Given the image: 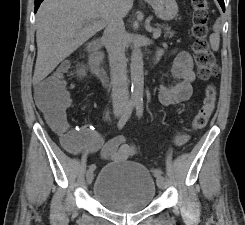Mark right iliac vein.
<instances>
[{"instance_id":"63e3f726","label":"right iliac vein","mask_w":245,"mask_h":225,"mask_svg":"<svg viewBox=\"0 0 245 225\" xmlns=\"http://www.w3.org/2000/svg\"><path fill=\"white\" fill-rule=\"evenodd\" d=\"M116 117H120L122 115V110H119L115 113ZM94 179V172L93 170H89L87 173H86V181L88 184H91L92 181Z\"/></svg>"}]
</instances>
